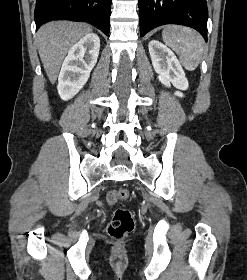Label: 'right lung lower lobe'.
<instances>
[{"mask_svg": "<svg viewBox=\"0 0 247 280\" xmlns=\"http://www.w3.org/2000/svg\"><path fill=\"white\" fill-rule=\"evenodd\" d=\"M111 0H36V29L59 19L86 21L109 35Z\"/></svg>", "mask_w": 247, "mask_h": 280, "instance_id": "98d812e1", "label": "right lung lower lobe"}]
</instances>
